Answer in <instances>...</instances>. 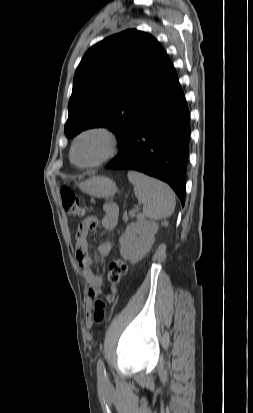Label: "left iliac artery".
Here are the masks:
<instances>
[{"mask_svg": "<svg viewBox=\"0 0 253 413\" xmlns=\"http://www.w3.org/2000/svg\"><path fill=\"white\" fill-rule=\"evenodd\" d=\"M97 373L101 379L106 378V369L102 359H99L97 362Z\"/></svg>", "mask_w": 253, "mask_h": 413, "instance_id": "obj_1", "label": "left iliac artery"}]
</instances>
